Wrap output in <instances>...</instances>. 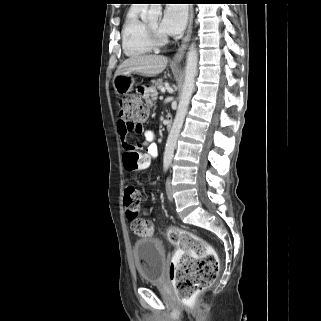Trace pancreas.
Instances as JSON below:
<instances>
[{"label":"pancreas","mask_w":321,"mask_h":321,"mask_svg":"<svg viewBox=\"0 0 321 321\" xmlns=\"http://www.w3.org/2000/svg\"><path fill=\"white\" fill-rule=\"evenodd\" d=\"M154 86L152 87L153 89L157 88V89H161L164 85L163 83V79H157L155 81H153Z\"/></svg>","instance_id":"pancreas-1"}]
</instances>
